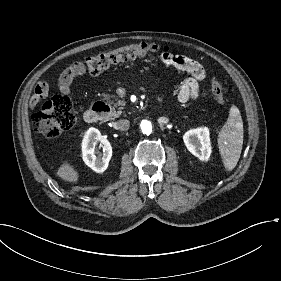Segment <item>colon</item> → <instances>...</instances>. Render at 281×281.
<instances>
[{
  "instance_id": "1",
  "label": "colon",
  "mask_w": 281,
  "mask_h": 281,
  "mask_svg": "<svg viewBox=\"0 0 281 281\" xmlns=\"http://www.w3.org/2000/svg\"><path fill=\"white\" fill-rule=\"evenodd\" d=\"M159 50L160 46L155 43L126 44L117 49L95 54L76 62L74 72L82 73L85 71L90 74H99L129 60L153 56ZM211 91L221 104L226 102L223 86L218 81L212 82ZM32 122L35 130L47 138H55L69 131L75 123L71 102L62 95L51 97L41 110L34 114Z\"/></svg>"
}]
</instances>
